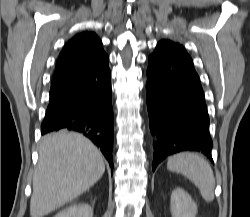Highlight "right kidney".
<instances>
[{"label": "right kidney", "instance_id": "obj_1", "mask_svg": "<svg viewBox=\"0 0 250 217\" xmlns=\"http://www.w3.org/2000/svg\"><path fill=\"white\" fill-rule=\"evenodd\" d=\"M54 217H93V210L90 205L85 203L72 204Z\"/></svg>", "mask_w": 250, "mask_h": 217}]
</instances>
